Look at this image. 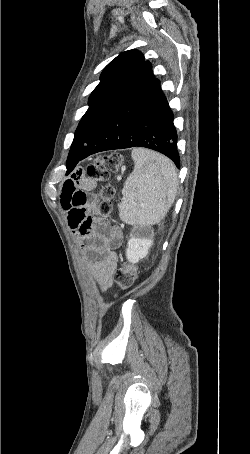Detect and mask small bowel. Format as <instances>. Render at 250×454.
Listing matches in <instances>:
<instances>
[{
  "label": "small bowel",
  "instance_id": "obj_1",
  "mask_svg": "<svg viewBox=\"0 0 250 454\" xmlns=\"http://www.w3.org/2000/svg\"><path fill=\"white\" fill-rule=\"evenodd\" d=\"M94 187L93 179L83 171L76 170L63 184L61 204L67 212L69 227L76 234L90 271L104 291L113 282L118 263L115 249L121 246L123 233L119 228L109 227L101 219L90 215L94 202L88 192Z\"/></svg>",
  "mask_w": 250,
  "mask_h": 454
}]
</instances>
